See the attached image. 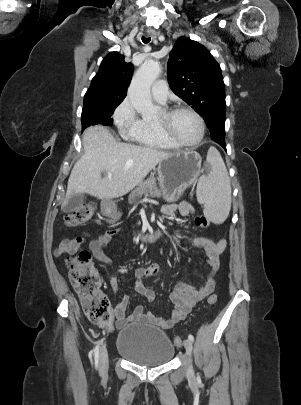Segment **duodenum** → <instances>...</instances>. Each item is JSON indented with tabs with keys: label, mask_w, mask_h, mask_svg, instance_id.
Instances as JSON below:
<instances>
[{
	"label": "duodenum",
	"mask_w": 301,
	"mask_h": 405,
	"mask_svg": "<svg viewBox=\"0 0 301 405\" xmlns=\"http://www.w3.org/2000/svg\"><path fill=\"white\" fill-rule=\"evenodd\" d=\"M101 206L103 207L104 217L106 219H111L113 217L114 206L112 205V201L110 199H103L101 201ZM164 236V232L162 230H155L150 233H146L142 236V240L144 242H155L161 237Z\"/></svg>",
	"instance_id": "410a0bca"
}]
</instances>
